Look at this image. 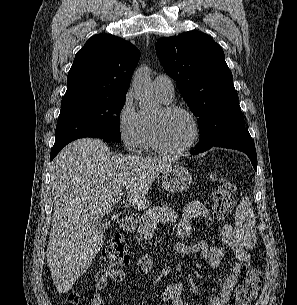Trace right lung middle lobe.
Instances as JSON below:
<instances>
[{
    "label": "right lung middle lobe",
    "mask_w": 297,
    "mask_h": 305,
    "mask_svg": "<svg viewBox=\"0 0 297 305\" xmlns=\"http://www.w3.org/2000/svg\"><path fill=\"white\" fill-rule=\"evenodd\" d=\"M124 102L125 95L86 96L62 101L53 148H63L84 137L120 142V112Z\"/></svg>",
    "instance_id": "right-lung-middle-lobe-1"
}]
</instances>
